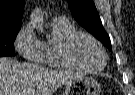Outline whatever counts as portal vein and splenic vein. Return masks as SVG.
Masks as SVG:
<instances>
[{"label": "portal vein and splenic vein", "mask_w": 135, "mask_h": 95, "mask_svg": "<svg viewBox=\"0 0 135 95\" xmlns=\"http://www.w3.org/2000/svg\"><path fill=\"white\" fill-rule=\"evenodd\" d=\"M28 94H31V92H30V91H28Z\"/></svg>", "instance_id": "obj_1"}]
</instances>
